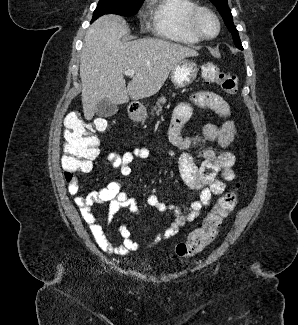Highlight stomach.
Segmentation results:
<instances>
[{"mask_svg":"<svg viewBox=\"0 0 298 325\" xmlns=\"http://www.w3.org/2000/svg\"><path fill=\"white\" fill-rule=\"evenodd\" d=\"M198 66L194 60L190 58H181L178 64H175L174 68L171 70L170 78L172 84L176 88H184V86H189L197 78ZM131 118L135 122H143L147 118V112L145 106H139L131 114Z\"/></svg>","mask_w":298,"mask_h":325,"instance_id":"obj_1","label":"stomach"}]
</instances>
